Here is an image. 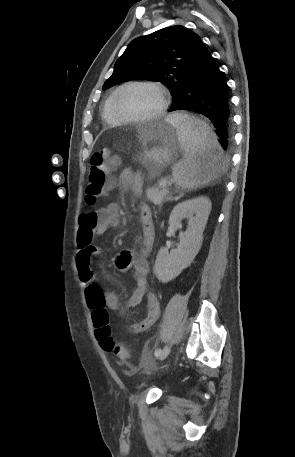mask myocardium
<instances>
[{
	"label": "myocardium",
	"mask_w": 295,
	"mask_h": 457,
	"mask_svg": "<svg viewBox=\"0 0 295 457\" xmlns=\"http://www.w3.org/2000/svg\"><path fill=\"white\" fill-rule=\"evenodd\" d=\"M137 85L151 86V87L156 88L158 90V92L160 94V98H161L160 106L156 112H154L148 116H144V117L124 116L117 109V106H116L117 97L123 89L131 87V86H137ZM168 104H169V95H168L166 88L161 83L156 82V81H149V80H135V81H130V82L120 85L113 92L112 99H111V111H112L113 115L121 122L145 123V122L154 121V120L160 118L165 113V111L168 107Z\"/></svg>",
	"instance_id": "obj_1"
}]
</instances>
